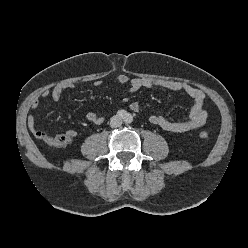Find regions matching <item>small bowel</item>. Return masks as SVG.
<instances>
[{"instance_id": "c3829d8e", "label": "small bowel", "mask_w": 248, "mask_h": 248, "mask_svg": "<svg viewBox=\"0 0 248 248\" xmlns=\"http://www.w3.org/2000/svg\"><path fill=\"white\" fill-rule=\"evenodd\" d=\"M116 81L121 85L128 84L131 92H138L141 89H151L155 87H160L170 91L184 93L192 99V106L189 112V117L186 120L171 121L160 113H155L149 117V121L152 124L160 127L165 131L174 132V133L193 131L202 127L207 120L208 112L206 109L207 107L206 96L202 90L196 87L174 80H158V79H150V78L131 79L124 74L119 75ZM95 85L101 87L102 82L97 81L95 82ZM75 88L76 86L72 82L59 83L55 85L52 89L44 91L41 94V97L42 98L50 97L54 102H58L66 90H72ZM38 106H39L38 100L33 101L31 104V108L34 110L37 109ZM129 107L133 112H138L140 110V103L137 101L131 102ZM85 118L87 121L96 125L101 124L105 119L103 115L94 112H86ZM27 124L35 137L42 139L43 135L46 134L37 127L36 120L33 115L28 116ZM76 135L77 132L73 129L67 131V136L70 138H73Z\"/></svg>"}]
</instances>
